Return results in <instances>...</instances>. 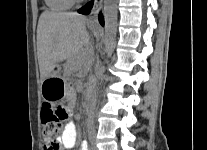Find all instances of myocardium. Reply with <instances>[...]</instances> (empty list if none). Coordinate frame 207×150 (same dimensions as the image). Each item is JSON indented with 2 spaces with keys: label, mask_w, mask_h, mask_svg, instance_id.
Segmentation results:
<instances>
[{
  "label": "myocardium",
  "mask_w": 207,
  "mask_h": 150,
  "mask_svg": "<svg viewBox=\"0 0 207 150\" xmlns=\"http://www.w3.org/2000/svg\"><path fill=\"white\" fill-rule=\"evenodd\" d=\"M74 2H81V1H83V0H73Z\"/></svg>",
  "instance_id": "myocardium-1"
}]
</instances>
